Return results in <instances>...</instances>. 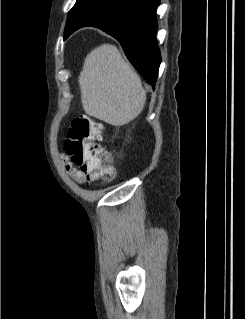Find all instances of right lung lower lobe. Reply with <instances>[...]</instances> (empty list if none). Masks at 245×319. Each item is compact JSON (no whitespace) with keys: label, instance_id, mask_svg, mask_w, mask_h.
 <instances>
[{"label":"right lung lower lobe","instance_id":"1","mask_svg":"<svg viewBox=\"0 0 245 319\" xmlns=\"http://www.w3.org/2000/svg\"><path fill=\"white\" fill-rule=\"evenodd\" d=\"M159 3L160 0H129L85 25L100 28L116 38L129 61L152 86L155 85L161 63L156 41V10Z\"/></svg>","mask_w":245,"mask_h":319}]
</instances>
